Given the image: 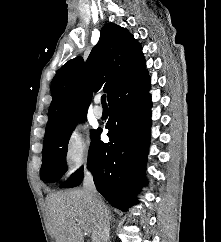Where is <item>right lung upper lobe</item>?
<instances>
[{
  "label": "right lung upper lobe",
  "mask_w": 221,
  "mask_h": 242,
  "mask_svg": "<svg viewBox=\"0 0 221 242\" xmlns=\"http://www.w3.org/2000/svg\"><path fill=\"white\" fill-rule=\"evenodd\" d=\"M145 71L142 48L133 35L126 28L106 23L86 62L82 57L73 58L53 78L44 139L84 117L93 92L103 89L109 101L123 84Z\"/></svg>",
  "instance_id": "1"
}]
</instances>
